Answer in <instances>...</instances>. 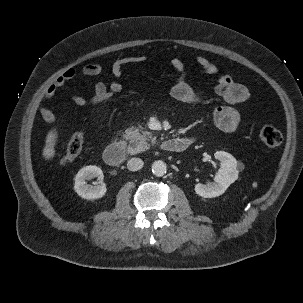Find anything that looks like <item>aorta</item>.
<instances>
[{
    "label": "aorta",
    "mask_w": 303,
    "mask_h": 303,
    "mask_svg": "<svg viewBox=\"0 0 303 303\" xmlns=\"http://www.w3.org/2000/svg\"><path fill=\"white\" fill-rule=\"evenodd\" d=\"M167 171V165L162 160H157L152 164V172L155 176H163Z\"/></svg>",
    "instance_id": "1"
}]
</instances>
